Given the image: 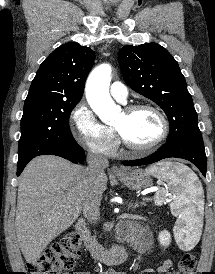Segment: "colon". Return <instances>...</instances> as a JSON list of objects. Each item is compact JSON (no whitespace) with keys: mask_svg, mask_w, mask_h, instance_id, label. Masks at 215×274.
Wrapping results in <instances>:
<instances>
[{"mask_svg":"<svg viewBox=\"0 0 215 274\" xmlns=\"http://www.w3.org/2000/svg\"><path fill=\"white\" fill-rule=\"evenodd\" d=\"M81 246L80 236L72 232L54 243L40 256L28 265L31 274H61L63 270L73 267ZM196 266V255L186 253L179 260L177 274H192Z\"/></svg>","mask_w":215,"mask_h":274,"instance_id":"colon-1","label":"colon"}]
</instances>
